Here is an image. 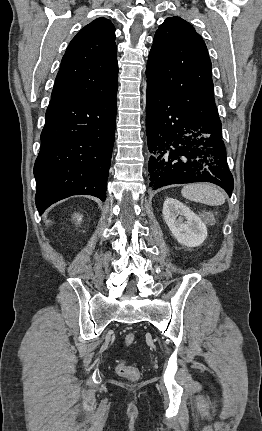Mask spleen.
<instances>
[{"label": "spleen", "instance_id": "obj_1", "mask_svg": "<svg viewBox=\"0 0 262 431\" xmlns=\"http://www.w3.org/2000/svg\"><path fill=\"white\" fill-rule=\"evenodd\" d=\"M181 194L184 198L207 204L218 206L225 203V196L214 186L207 183L189 184L182 188Z\"/></svg>", "mask_w": 262, "mask_h": 431}]
</instances>
